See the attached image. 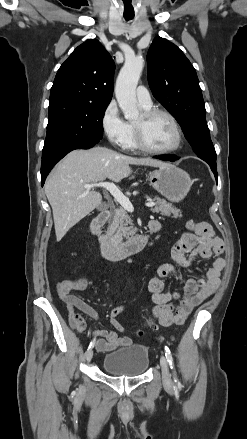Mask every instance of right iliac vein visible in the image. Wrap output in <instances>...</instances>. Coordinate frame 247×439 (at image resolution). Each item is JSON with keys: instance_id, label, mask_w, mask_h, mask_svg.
<instances>
[{"instance_id": "1", "label": "right iliac vein", "mask_w": 247, "mask_h": 439, "mask_svg": "<svg viewBox=\"0 0 247 439\" xmlns=\"http://www.w3.org/2000/svg\"><path fill=\"white\" fill-rule=\"evenodd\" d=\"M85 357H86V361H87V362H90L91 359H92V357H93V350H92V349H89V350L86 352Z\"/></svg>"}]
</instances>
